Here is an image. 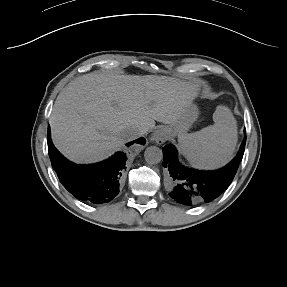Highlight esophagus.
I'll return each instance as SVG.
<instances>
[{"label":"esophagus","mask_w":287,"mask_h":287,"mask_svg":"<svg viewBox=\"0 0 287 287\" xmlns=\"http://www.w3.org/2000/svg\"><path fill=\"white\" fill-rule=\"evenodd\" d=\"M153 140L157 144H163L167 140L166 132L163 129H158L153 134Z\"/></svg>","instance_id":"esophagus-1"}]
</instances>
